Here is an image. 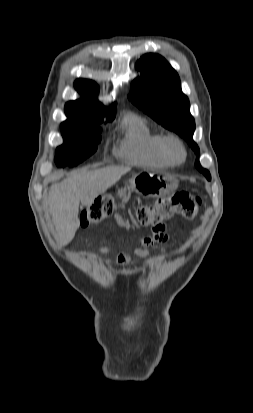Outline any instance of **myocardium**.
<instances>
[{
    "label": "myocardium",
    "instance_id": "1",
    "mask_svg": "<svg viewBox=\"0 0 253 413\" xmlns=\"http://www.w3.org/2000/svg\"><path fill=\"white\" fill-rule=\"evenodd\" d=\"M165 150L174 163H182L186 159V149L183 142L175 135L164 138Z\"/></svg>",
    "mask_w": 253,
    "mask_h": 413
}]
</instances>
